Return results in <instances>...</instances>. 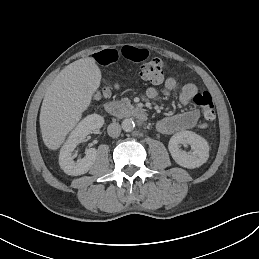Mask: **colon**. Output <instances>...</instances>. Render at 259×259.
<instances>
[{
    "instance_id": "colon-1",
    "label": "colon",
    "mask_w": 259,
    "mask_h": 259,
    "mask_svg": "<svg viewBox=\"0 0 259 259\" xmlns=\"http://www.w3.org/2000/svg\"><path fill=\"white\" fill-rule=\"evenodd\" d=\"M139 74L143 80L151 84H160L164 79L163 61L159 58H153L145 62L141 65ZM194 102L201 107L204 118L208 122H212L215 119L214 103L208 92L197 93L194 97Z\"/></svg>"
}]
</instances>
